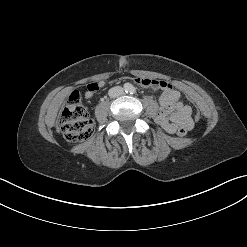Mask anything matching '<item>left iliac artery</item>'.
I'll return each mask as SVG.
<instances>
[{
    "label": "left iliac artery",
    "instance_id": "left-iliac-artery-1",
    "mask_svg": "<svg viewBox=\"0 0 247 247\" xmlns=\"http://www.w3.org/2000/svg\"><path fill=\"white\" fill-rule=\"evenodd\" d=\"M130 93L131 94H135L136 93V89L134 87H132L131 90H130Z\"/></svg>",
    "mask_w": 247,
    "mask_h": 247
}]
</instances>
